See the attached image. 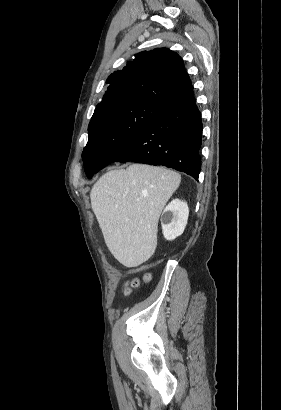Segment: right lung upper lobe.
Returning <instances> with one entry per match:
<instances>
[{
	"label": "right lung upper lobe",
	"instance_id": "1",
	"mask_svg": "<svg viewBox=\"0 0 281 410\" xmlns=\"http://www.w3.org/2000/svg\"><path fill=\"white\" fill-rule=\"evenodd\" d=\"M106 82L110 86L94 113L134 103L164 108L193 92L183 60L167 48L136 54L133 61L111 74Z\"/></svg>",
	"mask_w": 281,
	"mask_h": 410
}]
</instances>
